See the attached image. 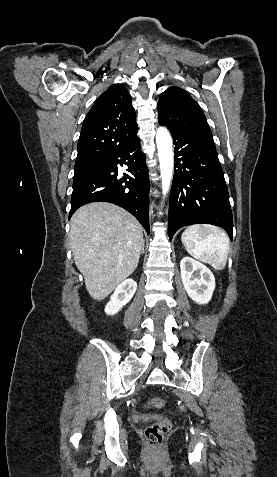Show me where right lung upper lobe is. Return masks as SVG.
<instances>
[{
	"label": "right lung upper lobe",
	"instance_id": "cb5924a9",
	"mask_svg": "<svg viewBox=\"0 0 277 477\" xmlns=\"http://www.w3.org/2000/svg\"><path fill=\"white\" fill-rule=\"evenodd\" d=\"M131 96L122 84L111 85L84 119L75 169L84 168L137 137Z\"/></svg>",
	"mask_w": 277,
	"mask_h": 477
}]
</instances>
